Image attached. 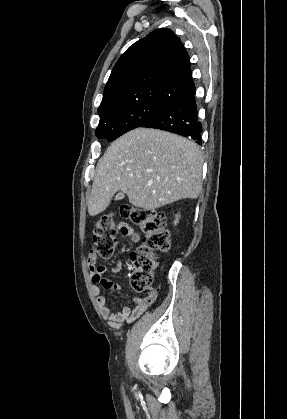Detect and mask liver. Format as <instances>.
I'll return each instance as SVG.
<instances>
[{"instance_id":"liver-1","label":"liver","mask_w":287,"mask_h":419,"mask_svg":"<svg viewBox=\"0 0 287 419\" xmlns=\"http://www.w3.org/2000/svg\"><path fill=\"white\" fill-rule=\"evenodd\" d=\"M202 166L201 150L191 140L156 129L129 131L99 160L88 213L103 212L119 190L144 210L196 199L202 191Z\"/></svg>"}]
</instances>
